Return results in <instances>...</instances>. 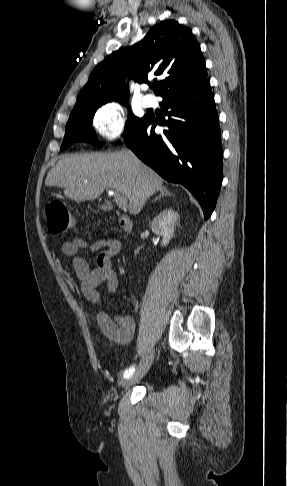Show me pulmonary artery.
I'll return each instance as SVG.
<instances>
[{
    "label": "pulmonary artery",
    "instance_id": "obj_1",
    "mask_svg": "<svg viewBox=\"0 0 287 486\" xmlns=\"http://www.w3.org/2000/svg\"><path fill=\"white\" fill-rule=\"evenodd\" d=\"M156 100L155 97L152 95H145L142 98V103L145 107H152L155 104Z\"/></svg>",
    "mask_w": 287,
    "mask_h": 486
}]
</instances>
